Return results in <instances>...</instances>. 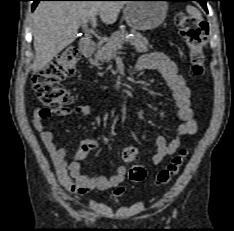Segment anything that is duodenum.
<instances>
[{"label": "duodenum", "mask_w": 234, "mask_h": 231, "mask_svg": "<svg viewBox=\"0 0 234 231\" xmlns=\"http://www.w3.org/2000/svg\"><path fill=\"white\" fill-rule=\"evenodd\" d=\"M96 50V43L93 40H84L80 45L81 54L86 57L90 58L93 56Z\"/></svg>", "instance_id": "410a0bca"}]
</instances>
